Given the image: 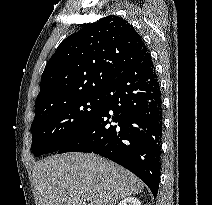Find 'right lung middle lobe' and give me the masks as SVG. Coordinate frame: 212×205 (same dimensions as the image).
I'll use <instances>...</instances> for the list:
<instances>
[{"label":"right lung middle lobe","instance_id":"1","mask_svg":"<svg viewBox=\"0 0 212 205\" xmlns=\"http://www.w3.org/2000/svg\"><path fill=\"white\" fill-rule=\"evenodd\" d=\"M101 93L77 98L35 116L31 125L32 152L38 157L58 151L99 111Z\"/></svg>","mask_w":212,"mask_h":205}]
</instances>
